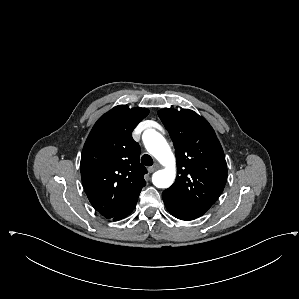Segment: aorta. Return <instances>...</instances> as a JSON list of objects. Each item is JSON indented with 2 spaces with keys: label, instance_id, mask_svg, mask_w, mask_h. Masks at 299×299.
Segmentation results:
<instances>
[{
  "label": "aorta",
  "instance_id": "aorta-1",
  "mask_svg": "<svg viewBox=\"0 0 299 299\" xmlns=\"http://www.w3.org/2000/svg\"><path fill=\"white\" fill-rule=\"evenodd\" d=\"M143 140L147 151L165 167L153 174L154 186L157 188L170 187L176 177V161L170 146L165 138L153 129L145 131Z\"/></svg>",
  "mask_w": 299,
  "mask_h": 299
}]
</instances>
